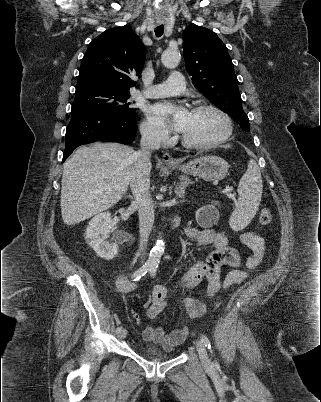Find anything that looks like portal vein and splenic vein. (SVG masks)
I'll use <instances>...</instances> for the list:
<instances>
[{
    "label": "portal vein and splenic vein",
    "mask_w": 321,
    "mask_h": 402,
    "mask_svg": "<svg viewBox=\"0 0 321 402\" xmlns=\"http://www.w3.org/2000/svg\"><path fill=\"white\" fill-rule=\"evenodd\" d=\"M232 187H227L226 189L223 190V193H225L229 198L234 199V194L231 193Z\"/></svg>",
    "instance_id": "1"
}]
</instances>
